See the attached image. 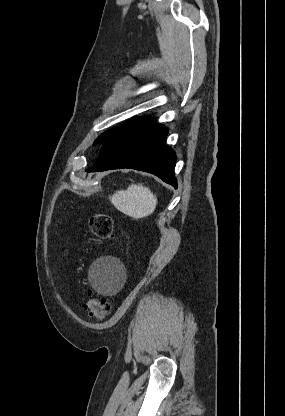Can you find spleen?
Instances as JSON below:
<instances>
[{
	"label": "spleen",
	"instance_id": "spleen-1",
	"mask_svg": "<svg viewBox=\"0 0 285 416\" xmlns=\"http://www.w3.org/2000/svg\"><path fill=\"white\" fill-rule=\"evenodd\" d=\"M111 204L130 218H146L153 214L157 206V198L143 184H131L127 190H119L109 198Z\"/></svg>",
	"mask_w": 285,
	"mask_h": 416
}]
</instances>
